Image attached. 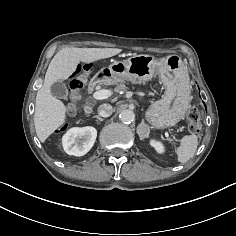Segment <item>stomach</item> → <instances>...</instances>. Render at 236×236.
<instances>
[{
  "mask_svg": "<svg viewBox=\"0 0 236 236\" xmlns=\"http://www.w3.org/2000/svg\"><path fill=\"white\" fill-rule=\"evenodd\" d=\"M159 71L166 86L162 99L153 102L146 111V117L157 129L175 125L185 115L190 104L187 70L176 55L157 60L153 55H131L123 61H115L102 68L96 78L101 81L118 83L125 80L133 84H145Z\"/></svg>",
  "mask_w": 236,
  "mask_h": 236,
  "instance_id": "obj_1",
  "label": "stomach"
}]
</instances>
